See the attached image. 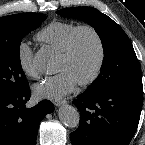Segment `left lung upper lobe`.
Listing matches in <instances>:
<instances>
[{
    "mask_svg": "<svg viewBox=\"0 0 145 145\" xmlns=\"http://www.w3.org/2000/svg\"><path fill=\"white\" fill-rule=\"evenodd\" d=\"M57 13L88 23L101 39L104 61L100 74L86 92L98 93L121 86L142 84L141 68L132 43L116 22L92 7L61 9Z\"/></svg>",
    "mask_w": 145,
    "mask_h": 145,
    "instance_id": "left-lung-upper-lobe-1",
    "label": "left lung upper lobe"
}]
</instances>
